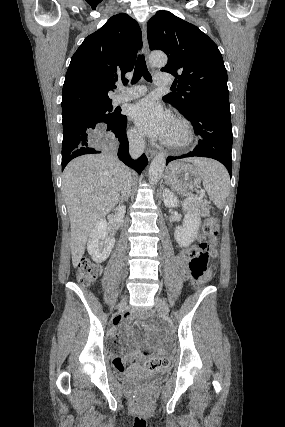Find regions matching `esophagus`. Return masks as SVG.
<instances>
[{"label": "esophagus", "instance_id": "obj_1", "mask_svg": "<svg viewBox=\"0 0 285 427\" xmlns=\"http://www.w3.org/2000/svg\"><path fill=\"white\" fill-rule=\"evenodd\" d=\"M142 38H143L144 53H145L146 57H148L150 50H149V45H148V40H147V31H146V24L145 23H142ZM150 68L152 69L151 66H150ZM155 154H156L155 150L149 149L146 151V156L149 160H151Z\"/></svg>", "mask_w": 285, "mask_h": 427}]
</instances>
